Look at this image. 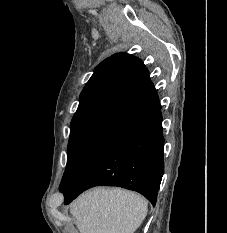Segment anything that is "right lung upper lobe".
<instances>
[{"label":"right lung upper lobe","mask_w":227,"mask_h":233,"mask_svg":"<svg viewBox=\"0 0 227 233\" xmlns=\"http://www.w3.org/2000/svg\"><path fill=\"white\" fill-rule=\"evenodd\" d=\"M161 110L158 95L142 61L117 53L101 62L80 94L70 133L120 134Z\"/></svg>","instance_id":"obj_1"}]
</instances>
